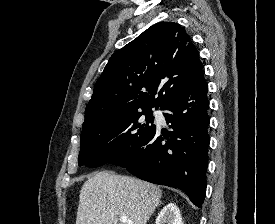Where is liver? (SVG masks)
<instances>
[{
	"label": "liver",
	"instance_id": "obj_1",
	"mask_svg": "<svg viewBox=\"0 0 275 224\" xmlns=\"http://www.w3.org/2000/svg\"><path fill=\"white\" fill-rule=\"evenodd\" d=\"M161 196L162 190L151 183L98 172L81 188L76 224H120L122 216L133 224H146Z\"/></svg>",
	"mask_w": 275,
	"mask_h": 224
}]
</instances>
